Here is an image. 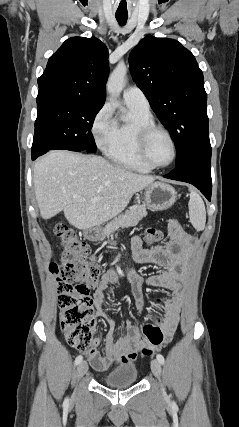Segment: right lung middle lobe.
Returning <instances> with one entry per match:
<instances>
[{
  "instance_id": "obj_1",
  "label": "right lung middle lobe",
  "mask_w": 239,
  "mask_h": 427,
  "mask_svg": "<svg viewBox=\"0 0 239 427\" xmlns=\"http://www.w3.org/2000/svg\"><path fill=\"white\" fill-rule=\"evenodd\" d=\"M101 108L102 105L80 101L37 100L32 158L57 149L95 153L91 129Z\"/></svg>"
}]
</instances>
